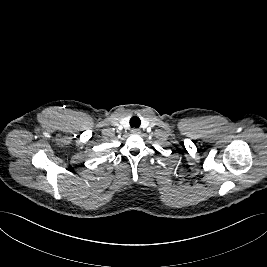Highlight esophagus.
Wrapping results in <instances>:
<instances>
[{
  "label": "esophagus",
  "instance_id": "esophagus-1",
  "mask_svg": "<svg viewBox=\"0 0 267 267\" xmlns=\"http://www.w3.org/2000/svg\"><path fill=\"white\" fill-rule=\"evenodd\" d=\"M140 130L139 129H137V128H133L132 130H131V133L132 134H140Z\"/></svg>",
  "mask_w": 267,
  "mask_h": 267
}]
</instances>
